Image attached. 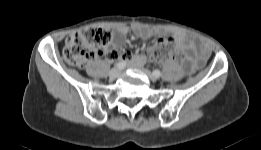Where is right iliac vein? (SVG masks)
Here are the masks:
<instances>
[{"label":"right iliac vein","instance_id":"obj_1","mask_svg":"<svg viewBox=\"0 0 261 150\" xmlns=\"http://www.w3.org/2000/svg\"><path fill=\"white\" fill-rule=\"evenodd\" d=\"M120 75V69L119 68H113L110 72H109V76L112 79H116L118 76Z\"/></svg>","mask_w":261,"mask_h":150}]
</instances>
